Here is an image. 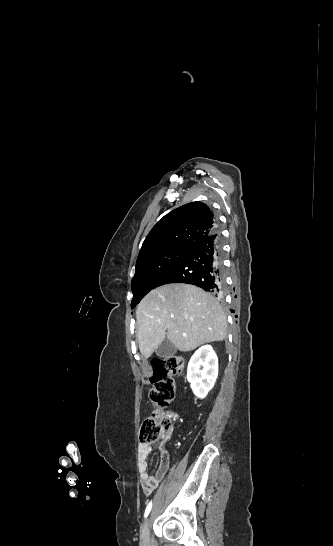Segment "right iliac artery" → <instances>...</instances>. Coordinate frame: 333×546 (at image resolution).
Listing matches in <instances>:
<instances>
[{"mask_svg":"<svg viewBox=\"0 0 333 546\" xmlns=\"http://www.w3.org/2000/svg\"><path fill=\"white\" fill-rule=\"evenodd\" d=\"M151 508H152V501L148 504L146 510H145V517L148 516V514L150 513L151 511Z\"/></svg>","mask_w":333,"mask_h":546,"instance_id":"1","label":"right iliac artery"}]
</instances>
